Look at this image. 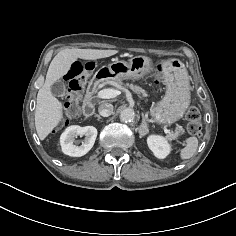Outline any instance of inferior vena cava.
I'll use <instances>...</instances> for the list:
<instances>
[{
  "instance_id": "inferior-vena-cava-1",
  "label": "inferior vena cava",
  "mask_w": 236,
  "mask_h": 236,
  "mask_svg": "<svg viewBox=\"0 0 236 236\" xmlns=\"http://www.w3.org/2000/svg\"><path fill=\"white\" fill-rule=\"evenodd\" d=\"M99 114L103 117H108L113 113V105L109 103H103L98 108Z\"/></svg>"
}]
</instances>
